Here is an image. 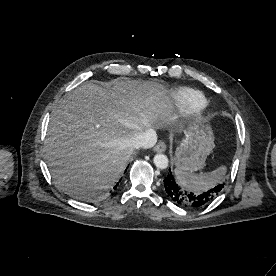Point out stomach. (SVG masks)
<instances>
[{
	"instance_id": "1",
	"label": "stomach",
	"mask_w": 276,
	"mask_h": 276,
	"mask_svg": "<svg viewBox=\"0 0 276 276\" xmlns=\"http://www.w3.org/2000/svg\"><path fill=\"white\" fill-rule=\"evenodd\" d=\"M213 148L214 135L211 128L203 124L190 125L176 148L174 164L177 169L186 172L198 171L205 165Z\"/></svg>"
}]
</instances>
